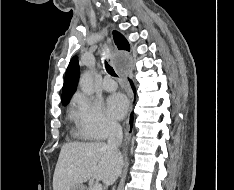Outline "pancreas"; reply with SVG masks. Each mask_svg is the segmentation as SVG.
<instances>
[{
	"mask_svg": "<svg viewBox=\"0 0 234 190\" xmlns=\"http://www.w3.org/2000/svg\"><path fill=\"white\" fill-rule=\"evenodd\" d=\"M88 190H92V187H89Z\"/></svg>",
	"mask_w": 234,
	"mask_h": 190,
	"instance_id": "1",
	"label": "pancreas"
}]
</instances>
